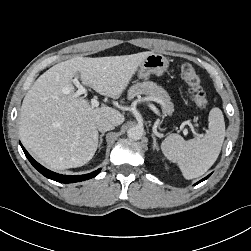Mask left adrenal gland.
Listing matches in <instances>:
<instances>
[{"label":"left adrenal gland","instance_id":"obj_1","mask_svg":"<svg viewBox=\"0 0 251 251\" xmlns=\"http://www.w3.org/2000/svg\"><path fill=\"white\" fill-rule=\"evenodd\" d=\"M151 136H152V139H153V148L154 149H158V145H157V142H156L155 134L152 133Z\"/></svg>","mask_w":251,"mask_h":251}]
</instances>
